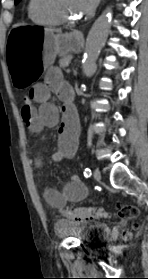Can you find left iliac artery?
Here are the masks:
<instances>
[{
	"instance_id": "1",
	"label": "left iliac artery",
	"mask_w": 148,
	"mask_h": 279,
	"mask_svg": "<svg viewBox=\"0 0 148 279\" xmlns=\"http://www.w3.org/2000/svg\"><path fill=\"white\" fill-rule=\"evenodd\" d=\"M91 170H90V168H85V170H84V176L86 177V178H89L90 176H91Z\"/></svg>"
}]
</instances>
